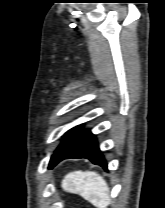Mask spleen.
<instances>
[{
    "label": "spleen",
    "mask_w": 165,
    "mask_h": 208,
    "mask_svg": "<svg viewBox=\"0 0 165 208\" xmlns=\"http://www.w3.org/2000/svg\"><path fill=\"white\" fill-rule=\"evenodd\" d=\"M64 191L79 194L97 208H106L109 203V187L96 172L73 171L62 180Z\"/></svg>",
    "instance_id": "1"
}]
</instances>
